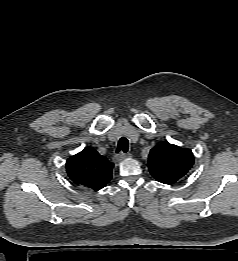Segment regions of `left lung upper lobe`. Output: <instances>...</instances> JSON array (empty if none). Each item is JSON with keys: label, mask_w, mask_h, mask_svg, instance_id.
<instances>
[{"label": "left lung upper lobe", "mask_w": 238, "mask_h": 261, "mask_svg": "<svg viewBox=\"0 0 238 261\" xmlns=\"http://www.w3.org/2000/svg\"><path fill=\"white\" fill-rule=\"evenodd\" d=\"M194 163L191 150L167 141L151 149L148 168L152 176L164 184H172L183 177Z\"/></svg>", "instance_id": "5c2ea615"}]
</instances>
